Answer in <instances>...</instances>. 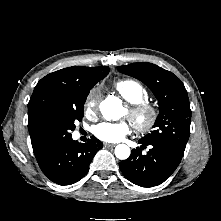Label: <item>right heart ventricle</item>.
<instances>
[{
	"label": "right heart ventricle",
	"instance_id": "right-heart-ventricle-1",
	"mask_svg": "<svg viewBox=\"0 0 221 221\" xmlns=\"http://www.w3.org/2000/svg\"><path fill=\"white\" fill-rule=\"evenodd\" d=\"M114 89L130 104L147 101L149 92L139 81L134 79H121L116 81Z\"/></svg>",
	"mask_w": 221,
	"mask_h": 221
}]
</instances>
